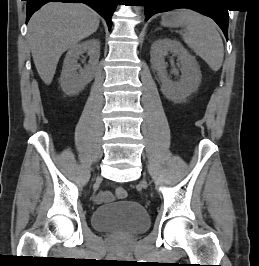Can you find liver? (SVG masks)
<instances>
[{
  "mask_svg": "<svg viewBox=\"0 0 259 266\" xmlns=\"http://www.w3.org/2000/svg\"><path fill=\"white\" fill-rule=\"evenodd\" d=\"M99 15L81 3L51 2L33 14L28 41L37 72L51 84L61 55L99 27Z\"/></svg>",
  "mask_w": 259,
  "mask_h": 266,
  "instance_id": "6515ba94",
  "label": "liver"
}]
</instances>
